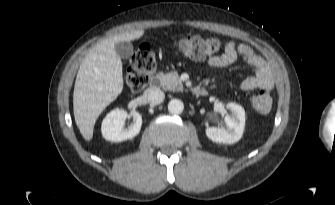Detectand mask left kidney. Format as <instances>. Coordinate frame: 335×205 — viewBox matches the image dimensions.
<instances>
[{
    "instance_id": "left-kidney-1",
    "label": "left kidney",
    "mask_w": 335,
    "mask_h": 205,
    "mask_svg": "<svg viewBox=\"0 0 335 205\" xmlns=\"http://www.w3.org/2000/svg\"><path fill=\"white\" fill-rule=\"evenodd\" d=\"M226 108L231 111V114L225 115L226 128L206 127V136L216 142L233 144L238 142L243 134L245 127V111L242 106L230 102Z\"/></svg>"
}]
</instances>
